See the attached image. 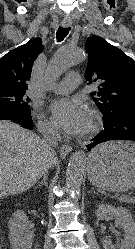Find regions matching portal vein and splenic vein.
<instances>
[{
  "label": "portal vein and splenic vein",
  "mask_w": 135,
  "mask_h": 249,
  "mask_svg": "<svg viewBox=\"0 0 135 249\" xmlns=\"http://www.w3.org/2000/svg\"><path fill=\"white\" fill-rule=\"evenodd\" d=\"M115 196H116V197H118L119 195H118V194H116Z\"/></svg>",
  "instance_id": "obj_1"
}]
</instances>
